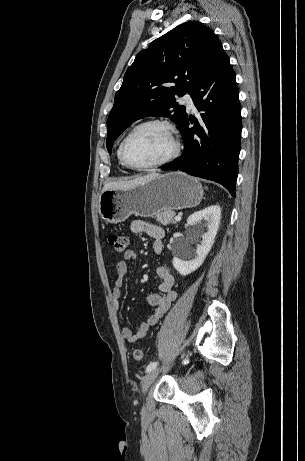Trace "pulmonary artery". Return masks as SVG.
<instances>
[{
	"label": "pulmonary artery",
	"mask_w": 305,
	"mask_h": 461,
	"mask_svg": "<svg viewBox=\"0 0 305 461\" xmlns=\"http://www.w3.org/2000/svg\"><path fill=\"white\" fill-rule=\"evenodd\" d=\"M183 102L189 107V108H193L194 107V103H193V99H192V96L189 94V93H186L183 98H182Z\"/></svg>",
	"instance_id": "e3ab8cb5"
}]
</instances>
